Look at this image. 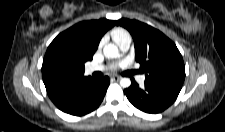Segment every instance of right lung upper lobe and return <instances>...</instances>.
Here are the masks:
<instances>
[{"instance_id": "cb5924a9", "label": "right lung upper lobe", "mask_w": 225, "mask_h": 132, "mask_svg": "<svg viewBox=\"0 0 225 132\" xmlns=\"http://www.w3.org/2000/svg\"><path fill=\"white\" fill-rule=\"evenodd\" d=\"M116 21L99 19L80 22L60 33L49 45L42 65L49 96L85 78L84 64L92 60L102 36Z\"/></svg>"}]
</instances>
